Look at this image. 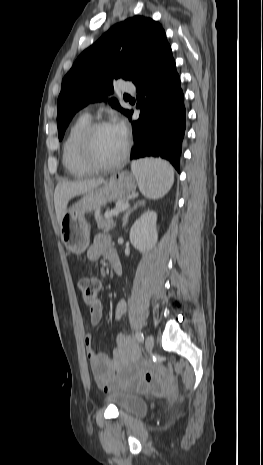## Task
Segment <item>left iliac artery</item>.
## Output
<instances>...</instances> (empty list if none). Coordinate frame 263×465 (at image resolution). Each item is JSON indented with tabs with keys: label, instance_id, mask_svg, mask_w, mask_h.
Instances as JSON below:
<instances>
[{
	"label": "left iliac artery",
	"instance_id": "obj_1",
	"mask_svg": "<svg viewBox=\"0 0 263 465\" xmlns=\"http://www.w3.org/2000/svg\"><path fill=\"white\" fill-rule=\"evenodd\" d=\"M135 337H136L138 342H143L144 341V335H143L142 332H139V331L136 332Z\"/></svg>",
	"mask_w": 263,
	"mask_h": 465
}]
</instances>
